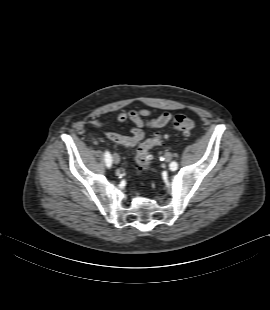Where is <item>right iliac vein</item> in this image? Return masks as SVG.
<instances>
[{"label": "right iliac vein", "mask_w": 270, "mask_h": 310, "mask_svg": "<svg viewBox=\"0 0 270 310\" xmlns=\"http://www.w3.org/2000/svg\"><path fill=\"white\" fill-rule=\"evenodd\" d=\"M113 162L118 164L120 162V157L118 154H113Z\"/></svg>", "instance_id": "1"}]
</instances>
